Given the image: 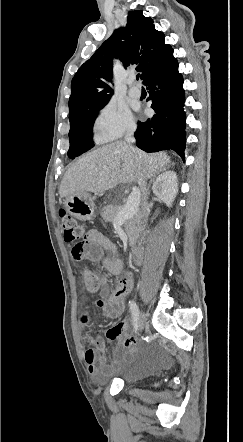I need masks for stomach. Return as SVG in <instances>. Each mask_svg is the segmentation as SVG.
I'll list each match as a JSON object with an SVG mask.
<instances>
[{"instance_id": "obj_1", "label": "stomach", "mask_w": 243, "mask_h": 442, "mask_svg": "<svg viewBox=\"0 0 243 442\" xmlns=\"http://www.w3.org/2000/svg\"><path fill=\"white\" fill-rule=\"evenodd\" d=\"M64 207L71 216L82 221L91 220L95 216L94 200L89 193L67 197Z\"/></svg>"}]
</instances>
